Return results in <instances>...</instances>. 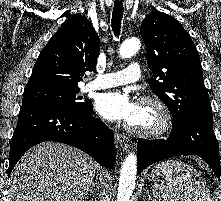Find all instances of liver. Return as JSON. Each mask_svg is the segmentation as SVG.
<instances>
[{
  "label": "liver",
  "instance_id": "obj_1",
  "mask_svg": "<svg viewBox=\"0 0 221 201\" xmlns=\"http://www.w3.org/2000/svg\"><path fill=\"white\" fill-rule=\"evenodd\" d=\"M96 162L65 144L31 148L10 176L13 201H78L93 184Z\"/></svg>",
  "mask_w": 221,
  "mask_h": 201
}]
</instances>
